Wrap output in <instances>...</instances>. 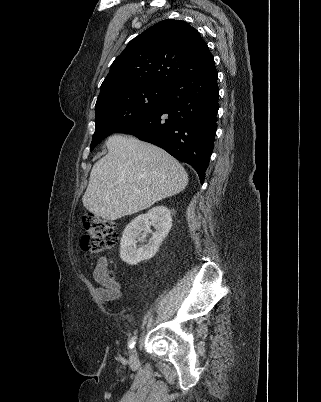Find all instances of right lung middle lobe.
I'll return each instance as SVG.
<instances>
[{
  "instance_id": "obj_1",
  "label": "right lung middle lobe",
  "mask_w": 321,
  "mask_h": 402,
  "mask_svg": "<svg viewBox=\"0 0 321 402\" xmlns=\"http://www.w3.org/2000/svg\"><path fill=\"white\" fill-rule=\"evenodd\" d=\"M165 95L166 87L148 86L119 92L96 103V130L91 151L108 135L156 110Z\"/></svg>"
}]
</instances>
